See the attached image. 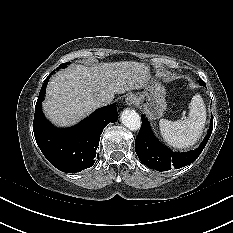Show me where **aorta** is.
I'll return each mask as SVG.
<instances>
[{
    "instance_id": "aorta-1",
    "label": "aorta",
    "mask_w": 233,
    "mask_h": 233,
    "mask_svg": "<svg viewBox=\"0 0 233 233\" xmlns=\"http://www.w3.org/2000/svg\"><path fill=\"white\" fill-rule=\"evenodd\" d=\"M122 124L131 131H137L141 127V118L139 114L132 109H126L121 114Z\"/></svg>"
}]
</instances>
